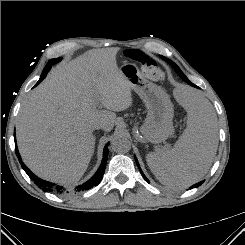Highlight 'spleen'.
<instances>
[{
    "mask_svg": "<svg viewBox=\"0 0 245 245\" xmlns=\"http://www.w3.org/2000/svg\"><path fill=\"white\" fill-rule=\"evenodd\" d=\"M183 106L187 127L174 147L156 148L146 156L151 172L169 188H186L200 181L209 170L218 147L217 117L208 99L186 89Z\"/></svg>",
    "mask_w": 245,
    "mask_h": 245,
    "instance_id": "obj_1",
    "label": "spleen"
}]
</instances>
